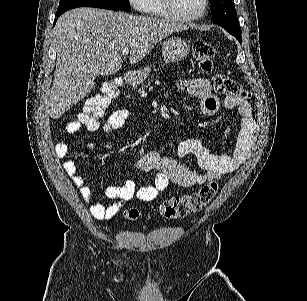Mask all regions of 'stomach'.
<instances>
[{
	"label": "stomach",
	"mask_w": 307,
	"mask_h": 301,
	"mask_svg": "<svg viewBox=\"0 0 307 301\" xmlns=\"http://www.w3.org/2000/svg\"><path fill=\"white\" fill-rule=\"evenodd\" d=\"M189 52L190 44H188L187 40H184V38H180V36L166 38L162 44V56L165 62H180V60L186 58ZM150 72V66H143V68H139V70H131V72L125 76V80L127 84H131V86H138V84L144 82Z\"/></svg>",
	"instance_id": "stomach-1"
}]
</instances>
